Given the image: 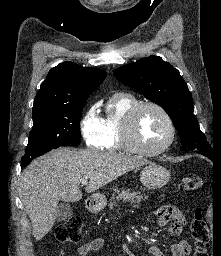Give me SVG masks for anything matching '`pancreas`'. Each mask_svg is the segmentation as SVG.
Instances as JSON below:
<instances>
[{"mask_svg": "<svg viewBox=\"0 0 221 256\" xmlns=\"http://www.w3.org/2000/svg\"><path fill=\"white\" fill-rule=\"evenodd\" d=\"M116 193H117L116 197H114V195H113V199H115L116 202H114V204L110 205L111 208L113 207V205H116V203L121 200L123 202L128 201V202H131L132 204H134V203H140L142 199H147L146 195L143 196L140 194V192H135V191L131 192L129 189H126V190L122 189V191L117 190Z\"/></svg>", "mask_w": 221, "mask_h": 256, "instance_id": "obj_1", "label": "pancreas"}]
</instances>
